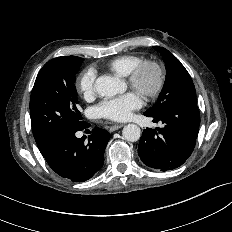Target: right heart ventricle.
<instances>
[{
    "label": "right heart ventricle",
    "instance_id": "right-heart-ventricle-1",
    "mask_svg": "<svg viewBox=\"0 0 232 232\" xmlns=\"http://www.w3.org/2000/svg\"><path fill=\"white\" fill-rule=\"evenodd\" d=\"M142 60L143 58L141 56L125 54L110 60L106 64V67L110 71L122 77H126L132 71V69Z\"/></svg>",
    "mask_w": 232,
    "mask_h": 232
}]
</instances>
